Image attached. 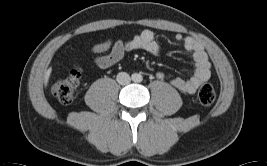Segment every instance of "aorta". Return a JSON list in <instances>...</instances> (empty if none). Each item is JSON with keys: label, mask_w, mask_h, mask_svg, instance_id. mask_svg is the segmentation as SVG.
Returning a JSON list of instances; mask_svg holds the SVG:
<instances>
[{"label": "aorta", "mask_w": 267, "mask_h": 166, "mask_svg": "<svg viewBox=\"0 0 267 166\" xmlns=\"http://www.w3.org/2000/svg\"><path fill=\"white\" fill-rule=\"evenodd\" d=\"M140 79H141V76H140V75H136L135 80H136V81H139Z\"/></svg>", "instance_id": "1"}]
</instances>
